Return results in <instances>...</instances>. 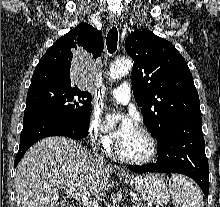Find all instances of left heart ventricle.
<instances>
[{"mask_svg": "<svg viewBox=\"0 0 220 207\" xmlns=\"http://www.w3.org/2000/svg\"><path fill=\"white\" fill-rule=\"evenodd\" d=\"M120 151L129 158H144L150 150L147 138L137 129L118 142Z\"/></svg>", "mask_w": 220, "mask_h": 207, "instance_id": "1", "label": "left heart ventricle"}]
</instances>
